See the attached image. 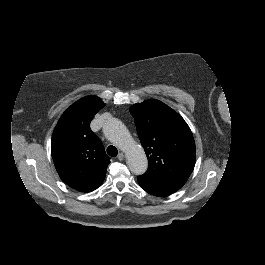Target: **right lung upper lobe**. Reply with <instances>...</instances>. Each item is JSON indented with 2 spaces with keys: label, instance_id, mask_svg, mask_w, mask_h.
<instances>
[{
  "label": "right lung upper lobe",
  "instance_id": "1",
  "mask_svg": "<svg viewBox=\"0 0 265 265\" xmlns=\"http://www.w3.org/2000/svg\"><path fill=\"white\" fill-rule=\"evenodd\" d=\"M105 106L94 95L72 104L60 117L51 140V153L61 180L80 192L97 189L104 181L110 158L90 129L94 115Z\"/></svg>",
  "mask_w": 265,
  "mask_h": 265
}]
</instances>
